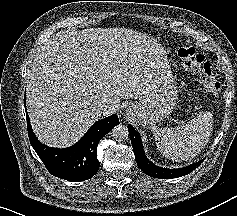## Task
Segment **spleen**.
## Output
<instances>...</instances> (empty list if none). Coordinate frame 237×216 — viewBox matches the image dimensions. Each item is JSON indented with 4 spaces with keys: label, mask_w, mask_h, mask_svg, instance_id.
Masks as SVG:
<instances>
[{
    "label": "spleen",
    "mask_w": 237,
    "mask_h": 216,
    "mask_svg": "<svg viewBox=\"0 0 237 216\" xmlns=\"http://www.w3.org/2000/svg\"><path fill=\"white\" fill-rule=\"evenodd\" d=\"M208 113L199 114L186 124L153 128L159 151L173 160H184L197 155L205 146L212 131Z\"/></svg>",
    "instance_id": "1"
}]
</instances>
